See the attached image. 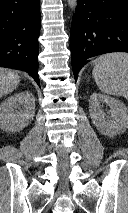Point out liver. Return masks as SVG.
Here are the masks:
<instances>
[{
	"instance_id": "obj_1",
	"label": "liver",
	"mask_w": 128,
	"mask_h": 213,
	"mask_svg": "<svg viewBox=\"0 0 128 213\" xmlns=\"http://www.w3.org/2000/svg\"><path fill=\"white\" fill-rule=\"evenodd\" d=\"M20 77L12 70L0 68V97L11 93L19 85Z\"/></svg>"
}]
</instances>
